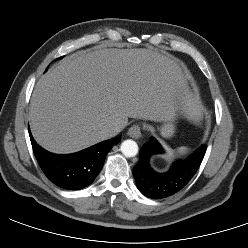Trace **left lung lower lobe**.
Masks as SVG:
<instances>
[{
	"label": "left lung lower lobe",
	"mask_w": 248,
	"mask_h": 248,
	"mask_svg": "<svg viewBox=\"0 0 248 248\" xmlns=\"http://www.w3.org/2000/svg\"><path fill=\"white\" fill-rule=\"evenodd\" d=\"M203 144L191 154L176 160L164 173L155 172L149 165L150 158L164 151L153 137L140 149V159L133 168V176L139 191L151 199H163L182 190L197 172L204 155Z\"/></svg>",
	"instance_id": "0a47b994"
}]
</instances>
